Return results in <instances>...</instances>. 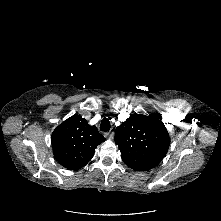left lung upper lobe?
Segmentation results:
<instances>
[{
  "label": "left lung upper lobe",
  "mask_w": 221,
  "mask_h": 221,
  "mask_svg": "<svg viewBox=\"0 0 221 221\" xmlns=\"http://www.w3.org/2000/svg\"><path fill=\"white\" fill-rule=\"evenodd\" d=\"M115 143L127 166L136 171H148L166 155L170 137L160 115L131 114L116 128Z\"/></svg>",
  "instance_id": "5c2ea615"
}]
</instances>
